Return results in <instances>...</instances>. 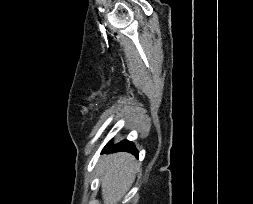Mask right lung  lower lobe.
I'll use <instances>...</instances> for the list:
<instances>
[{
	"mask_svg": "<svg viewBox=\"0 0 253 204\" xmlns=\"http://www.w3.org/2000/svg\"><path fill=\"white\" fill-rule=\"evenodd\" d=\"M111 141L105 146L104 150H111L112 152L127 151L138 156V152L132 142L124 140L111 147Z\"/></svg>",
	"mask_w": 253,
	"mask_h": 204,
	"instance_id": "right-lung-lower-lobe-1",
	"label": "right lung lower lobe"
}]
</instances>
